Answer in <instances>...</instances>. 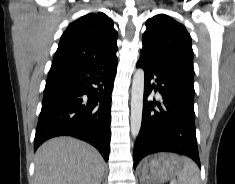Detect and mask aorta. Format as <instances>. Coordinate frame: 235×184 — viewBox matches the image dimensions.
Masks as SVG:
<instances>
[{
	"label": "aorta",
	"mask_w": 235,
	"mask_h": 184,
	"mask_svg": "<svg viewBox=\"0 0 235 184\" xmlns=\"http://www.w3.org/2000/svg\"><path fill=\"white\" fill-rule=\"evenodd\" d=\"M144 94V70H137L134 74L131 92V134L137 138L142 122Z\"/></svg>",
	"instance_id": "aorta-1"
}]
</instances>
